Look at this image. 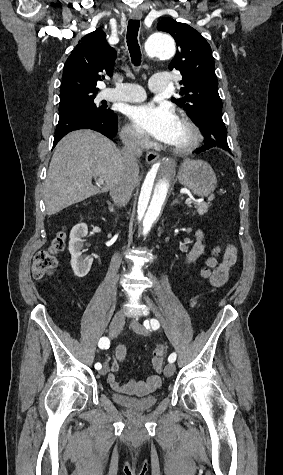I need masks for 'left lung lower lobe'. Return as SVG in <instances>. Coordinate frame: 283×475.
<instances>
[{
	"instance_id": "0a47b994",
	"label": "left lung lower lobe",
	"mask_w": 283,
	"mask_h": 475,
	"mask_svg": "<svg viewBox=\"0 0 283 475\" xmlns=\"http://www.w3.org/2000/svg\"><path fill=\"white\" fill-rule=\"evenodd\" d=\"M197 126L202 131L205 144L195 152L196 154L210 148H221L231 153L226 139L227 130L222 120V110L207 111Z\"/></svg>"
}]
</instances>
